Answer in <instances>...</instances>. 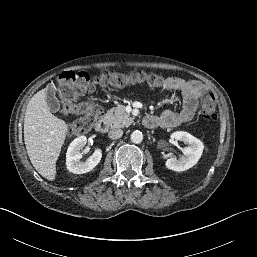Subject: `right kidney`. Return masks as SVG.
Wrapping results in <instances>:
<instances>
[{"instance_id":"ca27d5eb","label":"right kidney","mask_w":257,"mask_h":257,"mask_svg":"<svg viewBox=\"0 0 257 257\" xmlns=\"http://www.w3.org/2000/svg\"><path fill=\"white\" fill-rule=\"evenodd\" d=\"M86 143V136H79L70 143L66 153V166L69 172L83 174L91 171L100 162L102 151L99 148L95 149L93 154L85 162L80 161L82 158L81 150Z\"/></svg>"}]
</instances>
